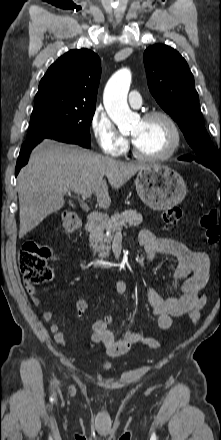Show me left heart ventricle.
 <instances>
[{"label": "left heart ventricle", "mask_w": 221, "mask_h": 440, "mask_svg": "<svg viewBox=\"0 0 221 440\" xmlns=\"http://www.w3.org/2000/svg\"><path fill=\"white\" fill-rule=\"evenodd\" d=\"M130 135L138 150L147 155L165 152L172 142L171 129L168 123L160 117L146 121L140 119L132 127Z\"/></svg>", "instance_id": "left-heart-ventricle-1"}]
</instances>
